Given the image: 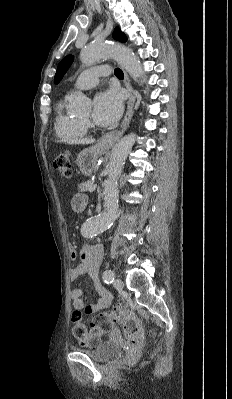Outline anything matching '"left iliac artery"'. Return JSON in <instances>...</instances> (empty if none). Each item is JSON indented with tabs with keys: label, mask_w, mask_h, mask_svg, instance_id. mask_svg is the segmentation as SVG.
<instances>
[{
	"label": "left iliac artery",
	"mask_w": 232,
	"mask_h": 399,
	"mask_svg": "<svg viewBox=\"0 0 232 399\" xmlns=\"http://www.w3.org/2000/svg\"><path fill=\"white\" fill-rule=\"evenodd\" d=\"M103 281L105 284H111L114 281V273L112 270L107 269L103 273Z\"/></svg>",
	"instance_id": "left-iliac-artery-1"
}]
</instances>
